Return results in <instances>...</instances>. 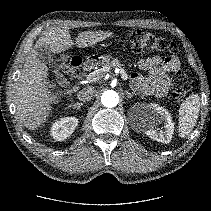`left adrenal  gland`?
Listing matches in <instances>:
<instances>
[{
    "instance_id": "obj_1",
    "label": "left adrenal gland",
    "mask_w": 211,
    "mask_h": 211,
    "mask_svg": "<svg viewBox=\"0 0 211 211\" xmlns=\"http://www.w3.org/2000/svg\"><path fill=\"white\" fill-rule=\"evenodd\" d=\"M125 93L129 99H131L134 95H139V93H136L135 91L134 92L126 91Z\"/></svg>"
}]
</instances>
